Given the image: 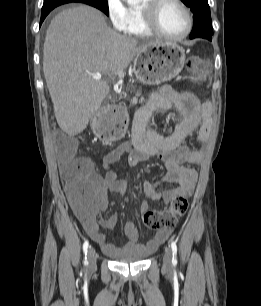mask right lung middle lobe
Instances as JSON below:
<instances>
[{
  "mask_svg": "<svg viewBox=\"0 0 261 306\" xmlns=\"http://www.w3.org/2000/svg\"><path fill=\"white\" fill-rule=\"evenodd\" d=\"M75 1H66V0H44V4L42 7V10L47 9H54L55 7L65 4V3H71ZM80 3H85L88 5H91L93 7L98 8L102 12H104L107 16L109 15V9H108V2L107 0H80L77 1Z\"/></svg>",
  "mask_w": 261,
  "mask_h": 306,
  "instance_id": "1",
  "label": "right lung middle lobe"
}]
</instances>
